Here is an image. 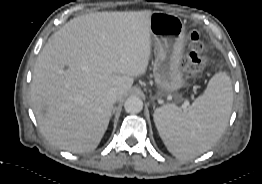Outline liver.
<instances>
[{
    "instance_id": "obj_1",
    "label": "liver",
    "mask_w": 262,
    "mask_h": 184,
    "mask_svg": "<svg viewBox=\"0 0 262 184\" xmlns=\"http://www.w3.org/2000/svg\"><path fill=\"white\" fill-rule=\"evenodd\" d=\"M152 13H90L48 39L34 66L31 100L49 142L73 153L99 145L113 110L107 92L115 89L121 99L147 70Z\"/></svg>"
}]
</instances>
